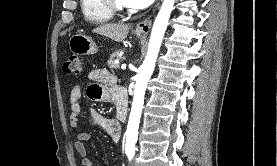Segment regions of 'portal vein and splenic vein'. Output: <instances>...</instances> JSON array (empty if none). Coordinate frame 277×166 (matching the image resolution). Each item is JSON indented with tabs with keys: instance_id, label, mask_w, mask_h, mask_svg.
<instances>
[{
	"instance_id": "portal-vein-and-splenic-vein-1",
	"label": "portal vein and splenic vein",
	"mask_w": 277,
	"mask_h": 166,
	"mask_svg": "<svg viewBox=\"0 0 277 166\" xmlns=\"http://www.w3.org/2000/svg\"><path fill=\"white\" fill-rule=\"evenodd\" d=\"M121 69H126V64H122Z\"/></svg>"
}]
</instances>
